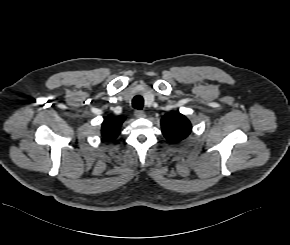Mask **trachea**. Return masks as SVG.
<instances>
[{"mask_svg": "<svg viewBox=\"0 0 290 245\" xmlns=\"http://www.w3.org/2000/svg\"><path fill=\"white\" fill-rule=\"evenodd\" d=\"M143 98L142 96H135L132 100V106L135 108V109H138V110H141L143 108Z\"/></svg>", "mask_w": 290, "mask_h": 245, "instance_id": "obj_1", "label": "trachea"}]
</instances>
